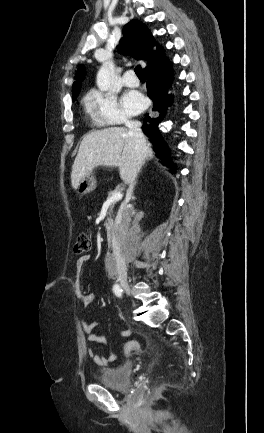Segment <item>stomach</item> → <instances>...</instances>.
Returning <instances> with one entry per match:
<instances>
[{
    "label": "stomach",
    "mask_w": 264,
    "mask_h": 433,
    "mask_svg": "<svg viewBox=\"0 0 264 433\" xmlns=\"http://www.w3.org/2000/svg\"><path fill=\"white\" fill-rule=\"evenodd\" d=\"M96 186H97L96 180L91 171L81 179L77 187V192L81 195L87 194L93 191L96 188Z\"/></svg>",
    "instance_id": "obj_1"
}]
</instances>
